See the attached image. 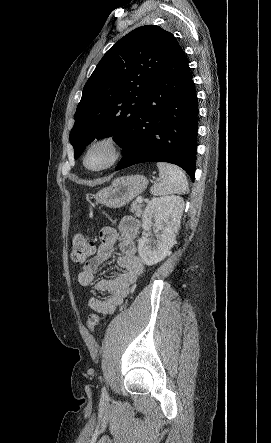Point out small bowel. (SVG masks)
<instances>
[{
	"mask_svg": "<svg viewBox=\"0 0 271 443\" xmlns=\"http://www.w3.org/2000/svg\"><path fill=\"white\" fill-rule=\"evenodd\" d=\"M139 222L132 217L123 219L118 229L106 226L100 231V245L78 273V282L87 287L93 284L100 267L119 250L116 269L109 272L110 278L95 283L94 289L106 293L105 298L91 297L88 308L103 315H112L129 293L131 285L143 271V263L137 255L135 238Z\"/></svg>",
	"mask_w": 271,
	"mask_h": 443,
	"instance_id": "c3829d8e",
	"label": "small bowel"
}]
</instances>
